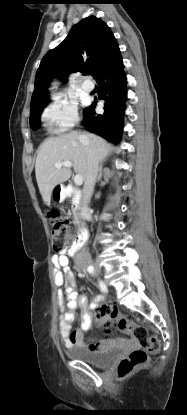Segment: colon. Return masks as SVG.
Listing matches in <instances>:
<instances>
[{
    "label": "colon",
    "mask_w": 187,
    "mask_h": 415,
    "mask_svg": "<svg viewBox=\"0 0 187 415\" xmlns=\"http://www.w3.org/2000/svg\"><path fill=\"white\" fill-rule=\"evenodd\" d=\"M51 233L53 249L56 252L70 251L76 245L78 234L71 223L59 217V211H52ZM97 319L103 324L106 332L115 331L137 341L139 348L133 349L118 366V376L123 378L133 373L137 368L146 364L149 353H156L160 348V341L150 335L147 328L133 323L123 316L115 307L103 305L97 309Z\"/></svg>",
    "instance_id": "1"
}]
</instances>
